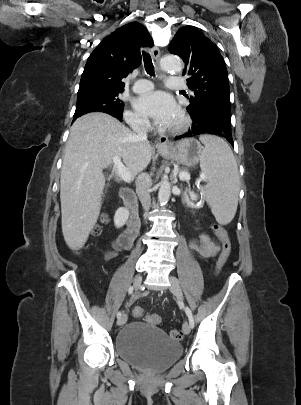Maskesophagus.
Listing matches in <instances>:
<instances>
[{
	"label": "esophagus",
	"instance_id": "1",
	"mask_svg": "<svg viewBox=\"0 0 301 405\" xmlns=\"http://www.w3.org/2000/svg\"><path fill=\"white\" fill-rule=\"evenodd\" d=\"M151 55L157 68H160V50L158 47H153L151 50ZM158 148H167L170 146V141L167 136H160L156 143Z\"/></svg>",
	"mask_w": 301,
	"mask_h": 405
}]
</instances>
